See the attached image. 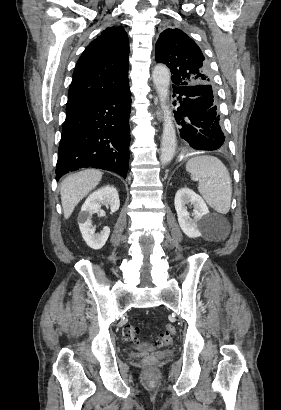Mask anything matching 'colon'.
<instances>
[{
	"label": "colon",
	"instance_id": "5ec220e1",
	"mask_svg": "<svg viewBox=\"0 0 281 410\" xmlns=\"http://www.w3.org/2000/svg\"><path fill=\"white\" fill-rule=\"evenodd\" d=\"M176 332L175 326L168 324L165 327V332L157 340L156 344L158 346H166L172 343L174 334ZM138 328L134 325L127 324L123 327V338L128 342H136L138 340ZM147 363L152 364L154 362L153 356H148L146 358Z\"/></svg>",
	"mask_w": 281,
	"mask_h": 410
}]
</instances>
